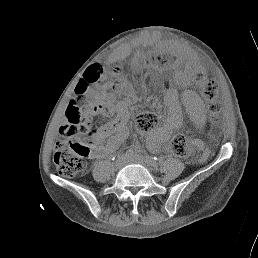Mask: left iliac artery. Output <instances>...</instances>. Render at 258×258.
I'll return each instance as SVG.
<instances>
[{
	"label": "left iliac artery",
	"instance_id": "44dca946",
	"mask_svg": "<svg viewBox=\"0 0 258 258\" xmlns=\"http://www.w3.org/2000/svg\"><path fill=\"white\" fill-rule=\"evenodd\" d=\"M155 160H159V159L155 158ZM147 161H150L149 158L147 159Z\"/></svg>",
	"mask_w": 258,
	"mask_h": 258
}]
</instances>
